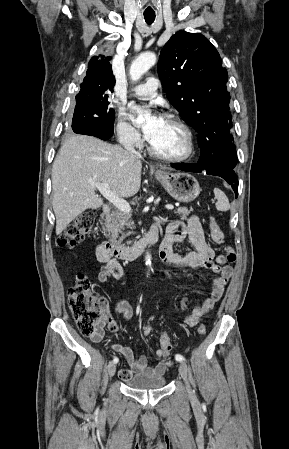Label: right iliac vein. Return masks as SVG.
<instances>
[{
  "label": "right iliac vein",
  "instance_id": "63e3f726",
  "mask_svg": "<svg viewBox=\"0 0 289 449\" xmlns=\"http://www.w3.org/2000/svg\"><path fill=\"white\" fill-rule=\"evenodd\" d=\"M107 372H108V375H109L110 378L113 377V375L116 372V365H115V363H109V365L107 367Z\"/></svg>",
  "mask_w": 289,
  "mask_h": 449
}]
</instances>
